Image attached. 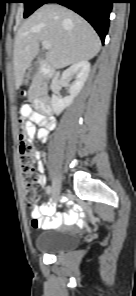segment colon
<instances>
[{
    "mask_svg": "<svg viewBox=\"0 0 136 296\" xmlns=\"http://www.w3.org/2000/svg\"><path fill=\"white\" fill-rule=\"evenodd\" d=\"M26 108L20 107V119L21 124L20 131V171L22 176V191L24 194L25 201L30 209L35 208L34 204L36 201L37 184H38V173L35 169V162L37 159V152L32 144L31 136L28 133L30 128L28 121L25 119V115L22 114Z\"/></svg>",
    "mask_w": 136,
    "mask_h": 296,
    "instance_id": "1",
    "label": "colon"
}]
</instances>
